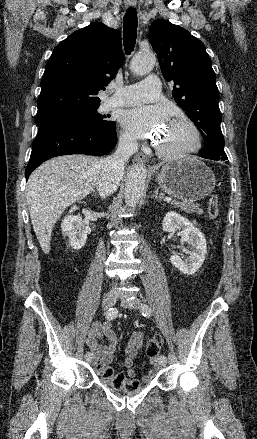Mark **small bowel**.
<instances>
[{"label":"small bowel","mask_w":257,"mask_h":439,"mask_svg":"<svg viewBox=\"0 0 257 439\" xmlns=\"http://www.w3.org/2000/svg\"><path fill=\"white\" fill-rule=\"evenodd\" d=\"M106 341L105 344H101V340ZM85 344L91 350L94 356V364L97 367H109L115 358L117 349L120 346V340L115 335L111 328L110 322L94 323L91 327L88 337L85 339ZM144 346V334L141 332L135 333L130 340L122 348L123 356L120 360V365L126 368V374L129 378L134 379L136 377V371L134 368L135 360L139 351ZM152 363H156V358H152ZM157 374V369L153 368L147 375L141 377V379H135L140 383H150Z\"/></svg>","instance_id":"1"}]
</instances>
